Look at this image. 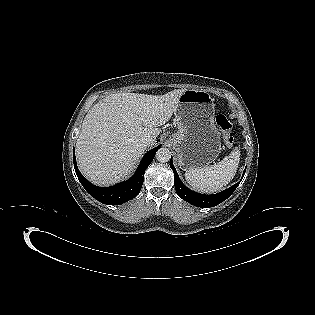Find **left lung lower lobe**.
Instances as JSON below:
<instances>
[{"mask_svg":"<svg viewBox=\"0 0 315 315\" xmlns=\"http://www.w3.org/2000/svg\"><path fill=\"white\" fill-rule=\"evenodd\" d=\"M170 167L174 172V185H175V190L178 194V196L180 198H182L183 200L194 204L195 206L198 207H204V208H208V207H214L218 204H220L221 202H223L224 200H226L229 196L232 195V193L234 192V190L237 188V186L239 185L240 182L234 184L233 186H231L230 188L217 193V194H211V195H204V194H199L196 192L191 191L190 189H188L180 180L177 171L172 163V158L170 160ZM246 170V168H245ZM245 170L243 173V176L245 174ZM242 176V178H243Z\"/></svg>","mask_w":315,"mask_h":315,"instance_id":"1","label":"left lung lower lobe"}]
</instances>
